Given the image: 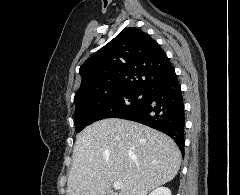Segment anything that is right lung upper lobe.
Instances as JSON below:
<instances>
[{"label":"right lung upper lobe","instance_id":"right-lung-upper-lobe-1","mask_svg":"<svg viewBox=\"0 0 240 195\" xmlns=\"http://www.w3.org/2000/svg\"><path fill=\"white\" fill-rule=\"evenodd\" d=\"M173 72L157 42L138 28H125L82 64L74 101L130 88L146 91Z\"/></svg>","mask_w":240,"mask_h":195}]
</instances>
